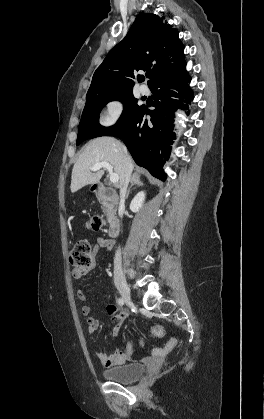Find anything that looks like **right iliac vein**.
Masks as SVG:
<instances>
[{"instance_id":"63e3f726","label":"right iliac vein","mask_w":264,"mask_h":419,"mask_svg":"<svg viewBox=\"0 0 264 419\" xmlns=\"http://www.w3.org/2000/svg\"><path fill=\"white\" fill-rule=\"evenodd\" d=\"M115 285H116L117 289L119 290V292H120L122 298L124 299V301L128 305H131L132 300H131L130 289H129L126 281L122 278L117 277L115 279Z\"/></svg>"}]
</instances>
